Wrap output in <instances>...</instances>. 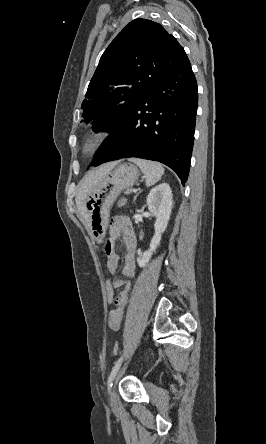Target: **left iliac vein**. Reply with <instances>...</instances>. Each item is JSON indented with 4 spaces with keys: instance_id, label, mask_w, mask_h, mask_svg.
<instances>
[{
    "instance_id": "1",
    "label": "left iliac vein",
    "mask_w": 266,
    "mask_h": 444,
    "mask_svg": "<svg viewBox=\"0 0 266 444\" xmlns=\"http://www.w3.org/2000/svg\"><path fill=\"white\" fill-rule=\"evenodd\" d=\"M139 343H140V340L137 341L136 347L139 345ZM124 370H125V366H123V367L118 371V373H117V375H116V377H115V380H114V386H113V388H112V390H111L110 403H111V406L114 407V408L117 407L116 386H117L118 381H119V379L121 378V376H122Z\"/></svg>"
}]
</instances>
